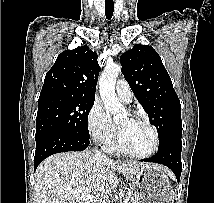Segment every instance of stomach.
Instances as JSON below:
<instances>
[{
  "label": "stomach",
  "instance_id": "0dacf381",
  "mask_svg": "<svg viewBox=\"0 0 214 203\" xmlns=\"http://www.w3.org/2000/svg\"><path fill=\"white\" fill-rule=\"evenodd\" d=\"M131 179L138 203H173L174 191L161 166L144 164Z\"/></svg>",
  "mask_w": 214,
  "mask_h": 203
}]
</instances>
